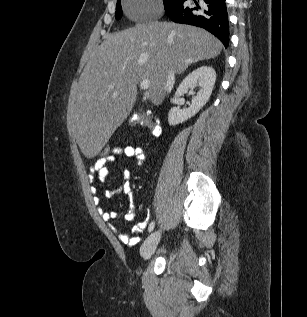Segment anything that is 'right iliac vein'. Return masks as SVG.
I'll use <instances>...</instances> for the list:
<instances>
[{"mask_svg":"<svg viewBox=\"0 0 307 317\" xmlns=\"http://www.w3.org/2000/svg\"><path fill=\"white\" fill-rule=\"evenodd\" d=\"M161 237L159 230L151 233L141 246V256L144 260H148L155 252Z\"/></svg>","mask_w":307,"mask_h":317,"instance_id":"63e3f726","label":"right iliac vein"}]
</instances>
